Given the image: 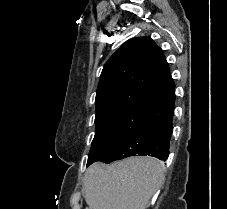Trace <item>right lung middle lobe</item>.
Instances as JSON below:
<instances>
[{"mask_svg":"<svg viewBox=\"0 0 227 209\" xmlns=\"http://www.w3.org/2000/svg\"><path fill=\"white\" fill-rule=\"evenodd\" d=\"M150 106L129 98L109 100L95 117V136L87 166L103 160L144 123Z\"/></svg>","mask_w":227,"mask_h":209,"instance_id":"right-lung-middle-lobe-1","label":"right lung middle lobe"}]
</instances>
